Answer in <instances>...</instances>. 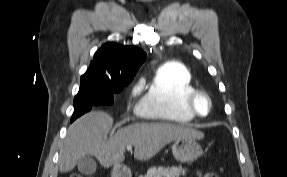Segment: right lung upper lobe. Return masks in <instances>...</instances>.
I'll list each match as a JSON object with an SVG mask.
<instances>
[{"mask_svg": "<svg viewBox=\"0 0 287 177\" xmlns=\"http://www.w3.org/2000/svg\"><path fill=\"white\" fill-rule=\"evenodd\" d=\"M146 54L135 46L105 43L98 49L85 75L99 84L110 86L132 80Z\"/></svg>", "mask_w": 287, "mask_h": 177, "instance_id": "right-lung-upper-lobe-1", "label": "right lung upper lobe"}]
</instances>
